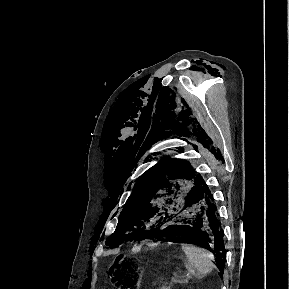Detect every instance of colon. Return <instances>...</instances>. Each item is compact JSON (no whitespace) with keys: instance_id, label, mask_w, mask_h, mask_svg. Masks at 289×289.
<instances>
[{"instance_id":"obj_1","label":"colon","mask_w":289,"mask_h":289,"mask_svg":"<svg viewBox=\"0 0 289 289\" xmlns=\"http://www.w3.org/2000/svg\"><path fill=\"white\" fill-rule=\"evenodd\" d=\"M109 274L117 289H138L141 272L134 263L128 262L112 266Z\"/></svg>"}]
</instances>
